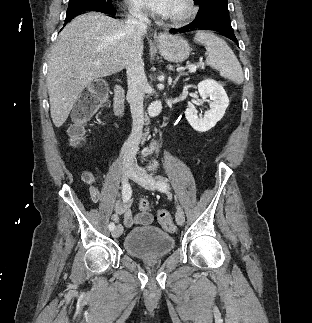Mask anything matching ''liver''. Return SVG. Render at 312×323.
<instances>
[{"mask_svg": "<svg viewBox=\"0 0 312 323\" xmlns=\"http://www.w3.org/2000/svg\"><path fill=\"white\" fill-rule=\"evenodd\" d=\"M131 50L123 22L107 14L88 12L65 26L48 62L50 114L56 128L66 122L85 86L126 68Z\"/></svg>", "mask_w": 312, "mask_h": 323, "instance_id": "obj_1", "label": "liver"}]
</instances>
